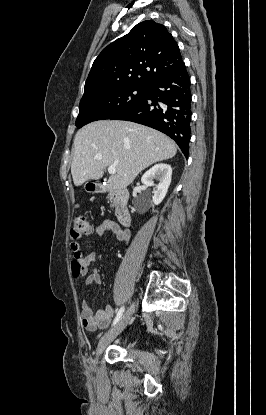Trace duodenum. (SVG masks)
Instances as JSON below:
<instances>
[{
  "mask_svg": "<svg viewBox=\"0 0 266 415\" xmlns=\"http://www.w3.org/2000/svg\"><path fill=\"white\" fill-rule=\"evenodd\" d=\"M91 190L98 194L109 193L113 196L115 215L123 226L130 225L131 217L128 210L129 193L125 188H108L100 183L92 185Z\"/></svg>",
  "mask_w": 266,
  "mask_h": 415,
  "instance_id": "obj_1",
  "label": "duodenum"
}]
</instances>
